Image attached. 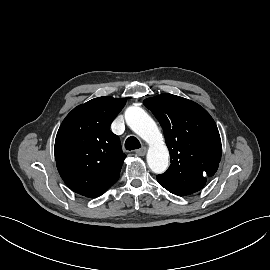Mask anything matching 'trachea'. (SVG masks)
Wrapping results in <instances>:
<instances>
[{"mask_svg":"<svg viewBox=\"0 0 270 270\" xmlns=\"http://www.w3.org/2000/svg\"><path fill=\"white\" fill-rule=\"evenodd\" d=\"M140 147H141V144L139 140L134 136L128 137L125 141V148L127 150L131 151V150L139 149Z\"/></svg>","mask_w":270,"mask_h":270,"instance_id":"trachea-1","label":"trachea"}]
</instances>
